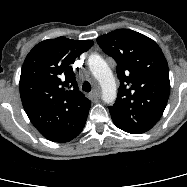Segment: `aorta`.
<instances>
[{
  "instance_id": "762f6f07",
  "label": "aorta",
  "mask_w": 187,
  "mask_h": 187,
  "mask_svg": "<svg viewBox=\"0 0 187 187\" xmlns=\"http://www.w3.org/2000/svg\"><path fill=\"white\" fill-rule=\"evenodd\" d=\"M89 69L99 82L102 89V99L105 103L111 104L117 96V89L114 76L106 61L97 54L88 58Z\"/></svg>"
}]
</instances>
